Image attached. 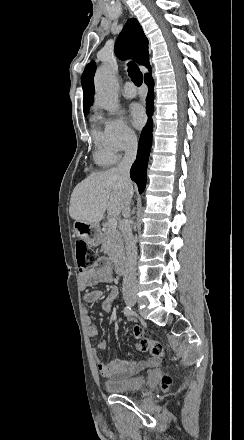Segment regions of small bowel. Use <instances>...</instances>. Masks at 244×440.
<instances>
[{
  "instance_id": "1",
  "label": "small bowel",
  "mask_w": 244,
  "mask_h": 440,
  "mask_svg": "<svg viewBox=\"0 0 244 440\" xmlns=\"http://www.w3.org/2000/svg\"><path fill=\"white\" fill-rule=\"evenodd\" d=\"M111 279L110 267L105 258H99L97 263L85 270L80 274V286L82 289H87L102 282H108ZM102 297V292L98 289L87 291L83 298L87 303H95ZM119 298V291L116 288L111 289L108 302L117 300ZM106 309L110 308L109 303L105 306ZM84 324L86 326L87 334L90 337H96L98 334V328L93 323L92 317L87 312L83 316ZM105 349L103 343L99 344L98 350L93 353L96 361L97 370L100 375L107 380L114 381H127L133 378L142 370L149 368L150 366L156 367L159 362L153 358L151 361L138 360L133 356L116 360L111 363H105L102 360L101 351Z\"/></svg>"
}]
</instances>
